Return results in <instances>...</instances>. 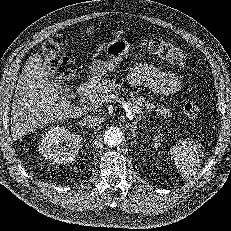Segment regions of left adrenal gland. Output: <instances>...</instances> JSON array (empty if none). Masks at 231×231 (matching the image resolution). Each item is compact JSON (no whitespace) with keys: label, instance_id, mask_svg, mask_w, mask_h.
<instances>
[{"label":"left adrenal gland","instance_id":"obj_1","mask_svg":"<svg viewBox=\"0 0 231 231\" xmlns=\"http://www.w3.org/2000/svg\"><path fill=\"white\" fill-rule=\"evenodd\" d=\"M141 121V117H139L138 120L134 121L133 124H127V127L129 128V130L132 132L133 135H135V131L137 130V124L138 122Z\"/></svg>","mask_w":231,"mask_h":231}]
</instances>
